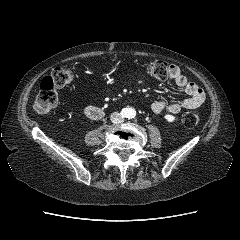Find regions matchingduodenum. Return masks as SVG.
<instances>
[{
  "instance_id": "obj_1",
  "label": "duodenum",
  "mask_w": 240,
  "mask_h": 240,
  "mask_svg": "<svg viewBox=\"0 0 240 240\" xmlns=\"http://www.w3.org/2000/svg\"><path fill=\"white\" fill-rule=\"evenodd\" d=\"M85 113L88 117L92 118V119H99L103 116V111L95 106H88L85 109Z\"/></svg>"
}]
</instances>
